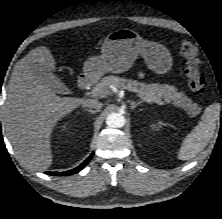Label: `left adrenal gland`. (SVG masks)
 Wrapping results in <instances>:
<instances>
[{"instance_id":"left-adrenal-gland-1","label":"left adrenal gland","mask_w":222,"mask_h":219,"mask_svg":"<svg viewBox=\"0 0 222 219\" xmlns=\"http://www.w3.org/2000/svg\"><path fill=\"white\" fill-rule=\"evenodd\" d=\"M129 103L131 104V109L134 110L138 105L141 104V101L139 102L129 101Z\"/></svg>"}]
</instances>
